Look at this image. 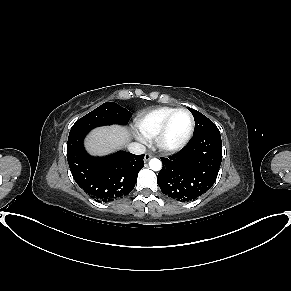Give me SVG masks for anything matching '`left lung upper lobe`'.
Returning a JSON list of instances; mask_svg holds the SVG:
<instances>
[{
	"mask_svg": "<svg viewBox=\"0 0 291 291\" xmlns=\"http://www.w3.org/2000/svg\"><path fill=\"white\" fill-rule=\"evenodd\" d=\"M188 109L193 114L195 120V129L193 136H197L208 130L218 129L217 126L202 113L191 108Z\"/></svg>",
	"mask_w": 291,
	"mask_h": 291,
	"instance_id": "left-lung-upper-lobe-1",
	"label": "left lung upper lobe"
}]
</instances>
